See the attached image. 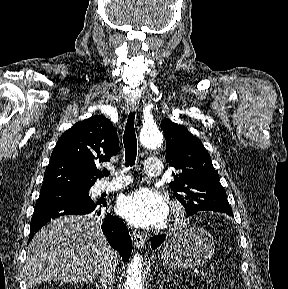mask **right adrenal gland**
Here are the masks:
<instances>
[{
	"instance_id": "right-adrenal-gland-1",
	"label": "right adrenal gland",
	"mask_w": 288,
	"mask_h": 289,
	"mask_svg": "<svg viewBox=\"0 0 288 289\" xmlns=\"http://www.w3.org/2000/svg\"><path fill=\"white\" fill-rule=\"evenodd\" d=\"M91 283L96 287V289H101L100 285L96 282L91 281Z\"/></svg>"
}]
</instances>
